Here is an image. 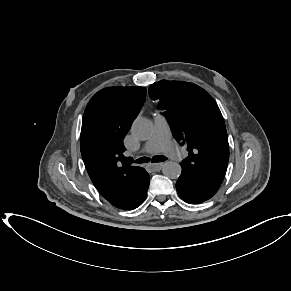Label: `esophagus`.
Listing matches in <instances>:
<instances>
[{
	"label": "esophagus",
	"instance_id": "34e87169",
	"mask_svg": "<svg viewBox=\"0 0 291 291\" xmlns=\"http://www.w3.org/2000/svg\"><path fill=\"white\" fill-rule=\"evenodd\" d=\"M163 163H156V164H150L149 167L152 171H159L163 167Z\"/></svg>",
	"mask_w": 291,
	"mask_h": 291
}]
</instances>
